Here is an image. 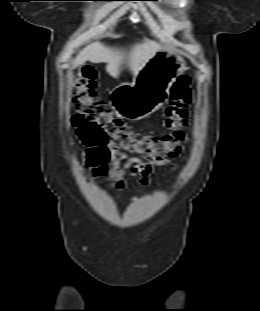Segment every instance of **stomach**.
Returning <instances> with one entry per match:
<instances>
[{"mask_svg":"<svg viewBox=\"0 0 260 311\" xmlns=\"http://www.w3.org/2000/svg\"><path fill=\"white\" fill-rule=\"evenodd\" d=\"M187 69L179 53L161 49L132 83H122L112 90L110 103L121 117L141 120L164 105L176 78Z\"/></svg>","mask_w":260,"mask_h":311,"instance_id":"0dacf381","label":"stomach"}]
</instances>
